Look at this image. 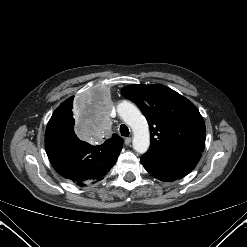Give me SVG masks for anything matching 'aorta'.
<instances>
[{"label":"aorta","mask_w":247,"mask_h":247,"mask_svg":"<svg viewBox=\"0 0 247 247\" xmlns=\"http://www.w3.org/2000/svg\"><path fill=\"white\" fill-rule=\"evenodd\" d=\"M117 112L133 131V149L143 154L150 146L149 126L140 110L132 103L123 101L117 105Z\"/></svg>","instance_id":"obj_1"}]
</instances>
